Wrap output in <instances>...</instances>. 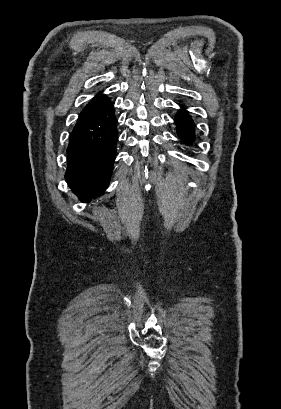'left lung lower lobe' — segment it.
Listing matches in <instances>:
<instances>
[{"instance_id": "left-lung-lower-lobe-1", "label": "left lung lower lobe", "mask_w": 281, "mask_h": 409, "mask_svg": "<svg viewBox=\"0 0 281 409\" xmlns=\"http://www.w3.org/2000/svg\"><path fill=\"white\" fill-rule=\"evenodd\" d=\"M175 123L181 140L186 144L192 143L195 139V125L188 112L180 110L175 118Z\"/></svg>"}]
</instances>
